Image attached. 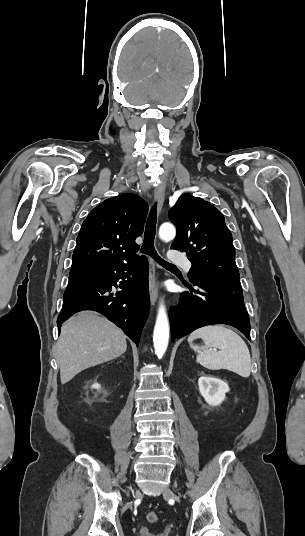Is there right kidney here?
Masks as SVG:
<instances>
[{
  "label": "right kidney",
  "instance_id": "1",
  "mask_svg": "<svg viewBox=\"0 0 305 536\" xmlns=\"http://www.w3.org/2000/svg\"><path fill=\"white\" fill-rule=\"evenodd\" d=\"M92 388L93 390H99L100 384H93Z\"/></svg>",
  "mask_w": 305,
  "mask_h": 536
}]
</instances>
